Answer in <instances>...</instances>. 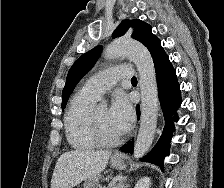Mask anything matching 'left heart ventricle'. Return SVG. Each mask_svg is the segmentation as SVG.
I'll list each match as a JSON object with an SVG mask.
<instances>
[{
  "label": "left heart ventricle",
  "mask_w": 224,
  "mask_h": 188,
  "mask_svg": "<svg viewBox=\"0 0 224 188\" xmlns=\"http://www.w3.org/2000/svg\"><path fill=\"white\" fill-rule=\"evenodd\" d=\"M96 116L101 130L105 136L114 138L121 134L110 119L109 111L107 108L96 109Z\"/></svg>",
  "instance_id": "left-heart-ventricle-1"
}]
</instances>
